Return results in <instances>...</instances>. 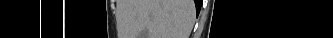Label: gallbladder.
Masks as SVG:
<instances>
[{"instance_id": "1", "label": "gallbladder", "mask_w": 333, "mask_h": 38, "mask_svg": "<svg viewBox=\"0 0 333 38\" xmlns=\"http://www.w3.org/2000/svg\"><path fill=\"white\" fill-rule=\"evenodd\" d=\"M139 38H148V31L146 29H144L140 35Z\"/></svg>"}]
</instances>
